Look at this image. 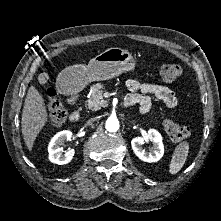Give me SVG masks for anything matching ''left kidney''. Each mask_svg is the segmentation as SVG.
I'll return each instance as SVG.
<instances>
[{
  "label": "left kidney",
  "instance_id": "obj_1",
  "mask_svg": "<svg viewBox=\"0 0 221 221\" xmlns=\"http://www.w3.org/2000/svg\"><path fill=\"white\" fill-rule=\"evenodd\" d=\"M149 141L153 142V147L149 152H147L142 147V145ZM131 146L135 155L140 160L149 163L159 161L164 154V145L162 143V136L155 129H150L146 136L133 138L131 141Z\"/></svg>",
  "mask_w": 221,
  "mask_h": 221
}]
</instances>
